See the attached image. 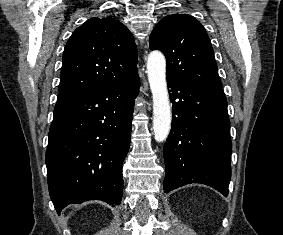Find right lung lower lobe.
Instances as JSON below:
<instances>
[{
	"instance_id": "98d812e1",
	"label": "right lung lower lobe",
	"mask_w": 283,
	"mask_h": 235,
	"mask_svg": "<svg viewBox=\"0 0 283 235\" xmlns=\"http://www.w3.org/2000/svg\"><path fill=\"white\" fill-rule=\"evenodd\" d=\"M134 75L58 100L46 151L48 187L58 214L72 203L122 199V163L128 153L135 97Z\"/></svg>"
}]
</instances>
